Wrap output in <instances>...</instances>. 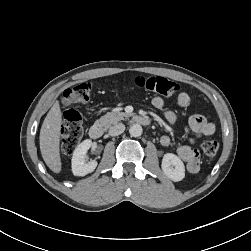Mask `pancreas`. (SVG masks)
<instances>
[{"mask_svg":"<svg viewBox=\"0 0 251 251\" xmlns=\"http://www.w3.org/2000/svg\"><path fill=\"white\" fill-rule=\"evenodd\" d=\"M130 114L120 111L108 112L100 119L96 121V124L103 126L105 129L109 128L111 125L124 120V118H128Z\"/></svg>","mask_w":251,"mask_h":251,"instance_id":"1","label":"pancreas"}]
</instances>
